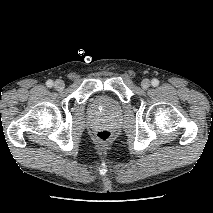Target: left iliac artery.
Segmentation results:
<instances>
[{
    "label": "left iliac artery",
    "mask_w": 213,
    "mask_h": 213,
    "mask_svg": "<svg viewBox=\"0 0 213 213\" xmlns=\"http://www.w3.org/2000/svg\"><path fill=\"white\" fill-rule=\"evenodd\" d=\"M151 84H152V86L157 87L159 85V80L154 78V79H152Z\"/></svg>",
    "instance_id": "left-iliac-artery-1"
}]
</instances>
